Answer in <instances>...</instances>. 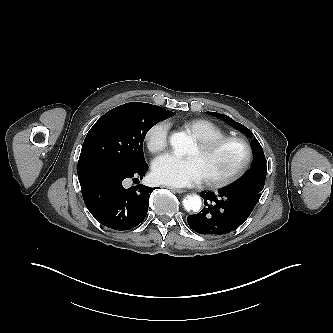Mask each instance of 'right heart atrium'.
Listing matches in <instances>:
<instances>
[{
  "label": "right heart atrium",
  "mask_w": 333,
  "mask_h": 333,
  "mask_svg": "<svg viewBox=\"0 0 333 333\" xmlns=\"http://www.w3.org/2000/svg\"><path fill=\"white\" fill-rule=\"evenodd\" d=\"M169 124L166 121L154 123L145 133L147 148L152 153L164 150L168 144Z\"/></svg>",
  "instance_id": "right-heart-atrium-1"
}]
</instances>
